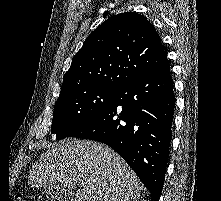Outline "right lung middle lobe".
Listing matches in <instances>:
<instances>
[{"instance_id":"obj_1","label":"right lung middle lobe","mask_w":221,"mask_h":201,"mask_svg":"<svg viewBox=\"0 0 221 201\" xmlns=\"http://www.w3.org/2000/svg\"><path fill=\"white\" fill-rule=\"evenodd\" d=\"M116 90L91 88L59 97L55 103L51 133L57 140L66 138L77 128L105 109Z\"/></svg>"}]
</instances>
